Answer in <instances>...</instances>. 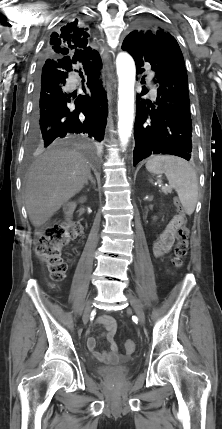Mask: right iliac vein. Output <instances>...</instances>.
<instances>
[{
    "mask_svg": "<svg viewBox=\"0 0 222 429\" xmlns=\"http://www.w3.org/2000/svg\"><path fill=\"white\" fill-rule=\"evenodd\" d=\"M91 308H92V305H91V303H89V304L87 305V307H86V309H85V312H84V315H83V321H84L85 323H87V322H88V320H89V315H90V312H91Z\"/></svg>",
    "mask_w": 222,
    "mask_h": 429,
    "instance_id": "1",
    "label": "right iliac vein"
}]
</instances>
